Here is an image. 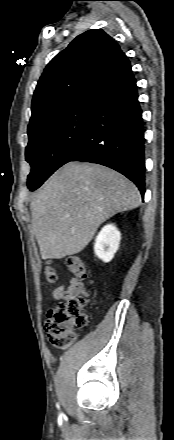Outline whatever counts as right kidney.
Here are the masks:
<instances>
[{
  "label": "right kidney",
  "instance_id": "1",
  "mask_svg": "<svg viewBox=\"0 0 174 440\" xmlns=\"http://www.w3.org/2000/svg\"><path fill=\"white\" fill-rule=\"evenodd\" d=\"M121 233L113 224L105 225L98 233L94 251L96 256L103 262H109L119 248Z\"/></svg>",
  "mask_w": 174,
  "mask_h": 440
}]
</instances>
